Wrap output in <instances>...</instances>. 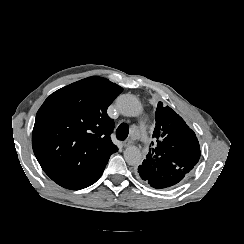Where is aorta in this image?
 Wrapping results in <instances>:
<instances>
[{
  "label": "aorta",
  "mask_w": 244,
  "mask_h": 244,
  "mask_svg": "<svg viewBox=\"0 0 244 244\" xmlns=\"http://www.w3.org/2000/svg\"><path fill=\"white\" fill-rule=\"evenodd\" d=\"M118 111L128 117H135L141 114L142 105L140 101L129 94L120 95L116 100ZM124 158L129 165L137 166L142 163V153L136 146H128L124 151Z\"/></svg>",
  "instance_id": "obj_1"
}]
</instances>
